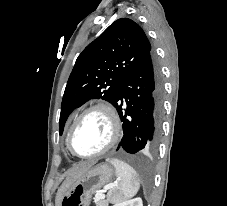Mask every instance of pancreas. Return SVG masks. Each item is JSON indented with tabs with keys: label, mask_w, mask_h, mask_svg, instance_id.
I'll use <instances>...</instances> for the list:
<instances>
[{
	"label": "pancreas",
	"mask_w": 227,
	"mask_h": 206,
	"mask_svg": "<svg viewBox=\"0 0 227 206\" xmlns=\"http://www.w3.org/2000/svg\"><path fill=\"white\" fill-rule=\"evenodd\" d=\"M97 206H108V200H99L96 202Z\"/></svg>",
	"instance_id": "cf45deb5"
}]
</instances>
